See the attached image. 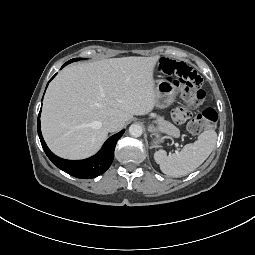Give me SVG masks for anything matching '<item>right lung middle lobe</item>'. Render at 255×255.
Instances as JSON below:
<instances>
[{
	"label": "right lung middle lobe",
	"mask_w": 255,
	"mask_h": 255,
	"mask_svg": "<svg viewBox=\"0 0 255 255\" xmlns=\"http://www.w3.org/2000/svg\"><path fill=\"white\" fill-rule=\"evenodd\" d=\"M72 60H73V62H74V61L80 60V58H74V59H72Z\"/></svg>",
	"instance_id": "dd1d6c3e"
}]
</instances>
